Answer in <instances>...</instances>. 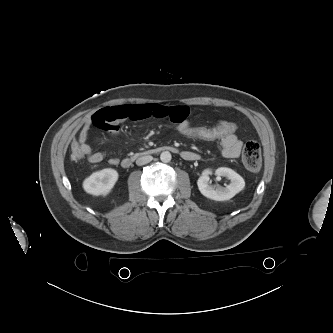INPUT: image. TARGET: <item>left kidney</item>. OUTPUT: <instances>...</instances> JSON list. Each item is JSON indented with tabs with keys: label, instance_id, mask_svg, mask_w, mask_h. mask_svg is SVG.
Listing matches in <instances>:
<instances>
[{
	"label": "left kidney",
	"instance_id": "5707ae66",
	"mask_svg": "<svg viewBox=\"0 0 333 333\" xmlns=\"http://www.w3.org/2000/svg\"><path fill=\"white\" fill-rule=\"evenodd\" d=\"M210 173L211 171L209 169L205 170L197 182L201 194L209 199L216 201L229 200L245 187L244 179L230 168L220 167L215 171L216 175L224 176L231 181L226 187L210 185L208 177Z\"/></svg>",
	"mask_w": 333,
	"mask_h": 333
}]
</instances>
